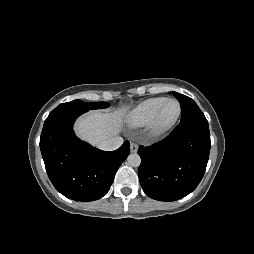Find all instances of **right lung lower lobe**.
I'll list each match as a JSON object with an SVG mask.
<instances>
[{"label":"right lung lower lobe","instance_id":"right-lung-lower-lobe-1","mask_svg":"<svg viewBox=\"0 0 254 254\" xmlns=\"http://www.w3.org/2000/svg\"><path fill=\"white\" fill-rule=\"evenodd\" d=\"M88 110L58 106L44 122L40 149L47 174L54 187L75 201L103 197L115 173L130 153L125 141L115 151H102L79 140L73 132L75 119Z\"/></svg>","mask_w":254,"mask_h":254}]
</instances>
